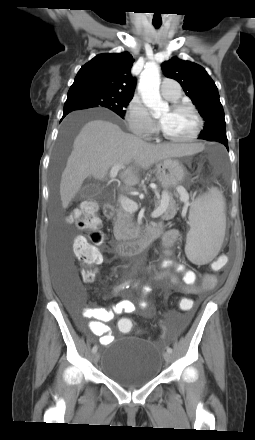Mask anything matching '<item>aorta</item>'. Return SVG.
Masks as SVG:
<instances>
[{"instance_id":"762f6f07","label":"aorta","mask_w":255,"mask_h":440,"mask_svg":"<svg viewBox=\"0 0 255 440\" xmlns=\"http://www.w3.org/2000/svg\"><path fill=\"white\" fill-rule=\"evenodd\" d=\"M160 67L156 63L148 64L140 74L138 90L143 103L155 114L168 110V104L160 96Z\"/></svg>"}]
</instances>
